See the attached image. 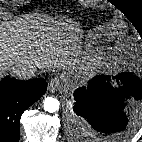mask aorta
Segmentation results:
<instances>
[{"mask_svg": "<svg viewBox=\"0 0 142 142\" xmlns=\"http://www.w3.org/2000/svg\"><path fill=\"white\" fill-rule=\"evenodd\" d=\"M59 105H60L59 101L53 97H47L43 101L44 110L49 113H54L58 111Z\"/></svg>", "mask_w": 142, "mask_h": 142, "instance_id": "762f6f07", "label": "aorta"}]
</instances>
